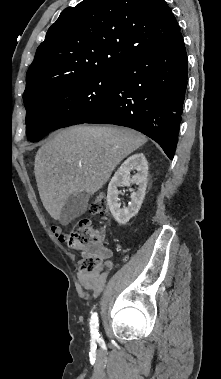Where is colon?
I'll use <instances>...</instances> for the list:
<instances>
[{"label": "colon", "mask_w": 221, "mask_h": 379, "mask_svg": "<svg viewBox=\"0 0 221 379\" xmlns=\"http://www.w3.org/2000/svg\"><path fill=\"white\" fill-rule=\"evenodd\" d=\"M90 212L100 216L108 213L107 197L104 194L95 197L90 205ZM52 232L61 242L84 254L80 262L82 271L91 273L100 268L103 241V230L100 226L94 225L88 219H82L69 233H63L58 226H54Z\"/></svg>", "instance_id": "1"}]
</instances>
